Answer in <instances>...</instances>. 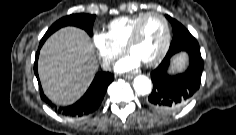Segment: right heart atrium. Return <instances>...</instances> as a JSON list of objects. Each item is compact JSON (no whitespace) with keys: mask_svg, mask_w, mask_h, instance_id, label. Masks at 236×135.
<instances>
[{"mask_svg":"<svg viewBox=\"0 0 236 135\" xmlns=\"http://www.w3.org/2000/svg\"><path fill=\"white\" fill-rule=\"evenodd\" d=\"M92 44L104 66L110 65L123 51V48L112 43L105 33L95 32L92 36Z\"/></svg>","mask_w":236,"mask_h":135,"instance_id":"right-heart-atrium-1","label":"right heart atrium"}]
</instances>
